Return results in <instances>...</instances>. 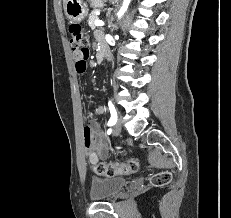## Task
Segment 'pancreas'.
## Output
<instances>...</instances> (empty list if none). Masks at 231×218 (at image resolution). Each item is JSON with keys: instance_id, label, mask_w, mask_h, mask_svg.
Returning a JSON list of instances; mask_svg holds the SVG:
<instances>
[{"instance_id": "1", "label": "pancreas", "mask_w": 231, "mask_h": 218, "mask_svg": "<svg viewBox=\"0 0 231 218\" xmlns=\"http://www.w3.org/2000/svg\"><path fill=\"white\" fill-rule=\"evenodd\" d=\"M99 11V10H93L90 15H89V20H88V24L89 26L91 27V29H95V25H94V22L96 20H98V16L96 15V12Z\"/></svg>"}]
</instances>
